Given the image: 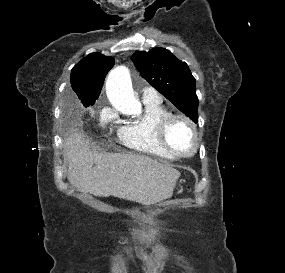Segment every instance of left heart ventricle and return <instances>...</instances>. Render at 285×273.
Instances as JSON below:
<instances>
[{
    "label": "left heart ventricle",
    "instance_id": "obj_1",
    "mask_svg": "<svg viewBox=\"0 0 285 273\" xmlns=\"http://www.w3.org/2000/svg\"><path fill=\"white\" fill-rule=\"evenodd\" d=\"M168 139L177 150L188 152L193 146V136L188 126L181 120L172 124L169 129Z\"/></svg>",
    "mask_w": 285,
    "mask_h": 273
}]
</instances>
